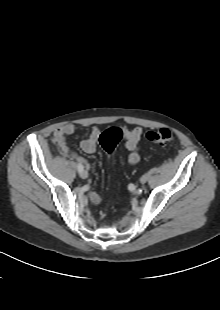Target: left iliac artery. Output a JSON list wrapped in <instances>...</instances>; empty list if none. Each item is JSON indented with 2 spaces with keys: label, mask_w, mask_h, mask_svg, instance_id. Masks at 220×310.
<instances>
[{
  "label": "left iliac artery",
  "mask_w": 220,
  "mask_h": 310,
  "mask_svg": "<svg viewBox=\"0 0 220 310\" xmlns=\"http://www.w3.org/2000/svg\"><path fill=\"white\" fill-rule=\"evenodd\" d=\"M135 189H136V185H134L133 183H130V184L128 185V190H129V191L133 192V191H135Z\"/></svg>",
  "instance_id": "44dca946"
}]
</instances>
